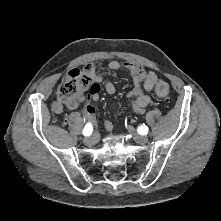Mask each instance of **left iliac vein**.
I'll list each match as a JSON object with an SVG mask.
<instances>
[{"label": "left iliac vein", "mask_w": 221, "mask_h": 221, "mask_svg": "<svg viewBox=\"0 0 221 221\" xmlns=\"http://www.w3.org/2000/svg\"><path fill=\"white\" fill-rule=\"evenodd\" d=\"M127 130L133 136L136 143L145 144L148 141L147 136L138 134L132 126H127Z\"/></svg>", "instance_id": "4c4485c4"}]
</instances>
